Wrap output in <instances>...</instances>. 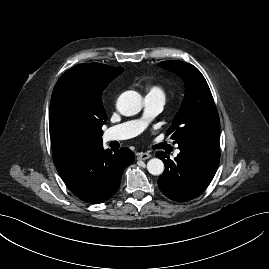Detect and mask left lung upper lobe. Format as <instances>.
Returning a JSON list of instances; mask_svg holds the SVG:
<instances>
[{"instance_id": "1", "label": "left lung upper lobe", "mask_w": 269, "mask_h": 269, "mask_svg": "<svg viewBox=\"0 0 269 269\" xmlns=\"http://www.w3.org/2000/svg\"><path fill=\"white\" fill-rule=\"evenodd\" d=\"M161 67L177 73L186 84L183 103L167 130L179 147L188 146L199 138H217L220 135L218 112L201 72L189 63L178 60L163 61Z\"/></svg>"}]
</instances>
